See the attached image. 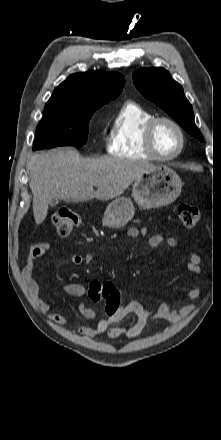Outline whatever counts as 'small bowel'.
Returning a JSON list of instances; mask_svg holds the SVG:
<instances>
[{
	"instance_id": "1",
	"label": "small bowel",
	"mask_w": 221,
	"mask_h": 440,
	"mask_svg": "<svg viewBox=\"0 0 221 440\" xmlns=\"http://www.w3.org/2000/svg\"><path fill=\"white\" fill-rule=\"evenodd\" d=\"M128 237L131 239L139 236H146L147 229L131 227L128 229ZM149 244L152 248H158L163 244H167L172 248H180V242L175 237H166L160 234L154 235L149 239ZM52 245L48 242L39 241L34 243L27 254L25 264L22 269V281L31 297L33 302L39 308L42 313H49L51 310V304L47 303L39 298V286L33 278L35 272L36 261L44 256ZM189 261L186 265L188 271L193 274H201V268L199 266L200 257L197 253L187 251ZM71 261L75 266H83L91 264L95 261V256L91 253L87 254H74L71 257ZM89 284L81 283H66L61 286V291L67 295L78 298H89L88 290ZM200 297V290L197 288L190 289L183 293L182 298L188 300H196ZM119 307V314L113 315L111 321H104L100 319L92 325L82 326L77 329V332L85 337H96L103 334H107L109 338L115 339L120 336H125L127 339H134L141 334L146 325L152 320H164L171 323L180 322L185 316L192 313L195 309L194 304L184 305L178 308H171L167 303L161 302L155 310H147L143 304L138 300H129L121 302ZM79 312L86 319H94L96 317L95 312L82 302L79 305ZM134 314L136 321L128 326L118 325L124 318ZM50 319L55 324L63 325L68 322L65 315L61 313L49 314Z\"/></svg>"
}]
</instances>
